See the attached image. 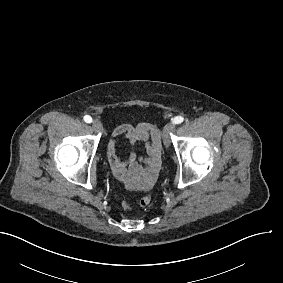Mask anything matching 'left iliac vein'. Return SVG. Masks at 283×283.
Wrapping results in <instances>:
<instances>
[{
    "label": "left iliac vein",
    "mask_w": 283,
    "mask_h": 283,
    "mask_svg": "<svg viewBox=\"0 0 283 283\" xmlns=\"http://www.w3.org/2000/svg\"><path fill=\"white\" fill-rule=\"evenodd\" d=\"M175 131V124L170 122L165 125L163 128V144L166 148L169 147L170 140H169V134Z\"/></svg>",
    "instance_id": "obj_1"
}]
</instances>
